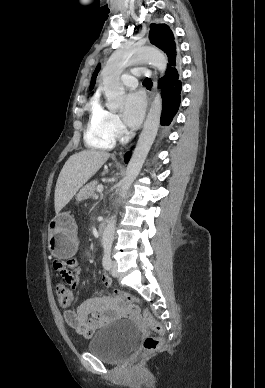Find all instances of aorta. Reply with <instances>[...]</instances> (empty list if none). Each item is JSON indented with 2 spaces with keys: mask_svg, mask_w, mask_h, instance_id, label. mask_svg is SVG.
Masks as SVG:
<instances>
[{
  "mask_svg": "<svg viewBox=\"0 0 265 388\" xmlns=\"http://www.w3.org/2000/svg\"><path fill=\"white\" fill-rule=\"evenodd\" d=\"M145 62L156 67L161 75H164L167 69V59L165 55L154 48H137L132 50H118L112 54L105 65L102 76L104 91L107 98L106 106L109 109H118L122 107L125 101V90L120 82V76L123 70L131 64ZM162 113V97L157 92L149 110L143 130L140 134L136 148L128 163L126 175L120 193L127 192L133 181L138 176L148 152L156 137L160 117ZM116 216H112L102 235V244L104 247H110L115 236Z\"/></svg>",
  "mask_w": 265,
  "mask_h": 388,
  "instance_id": "762f6f07",
  "label": "aorta"
}]
</instances>
